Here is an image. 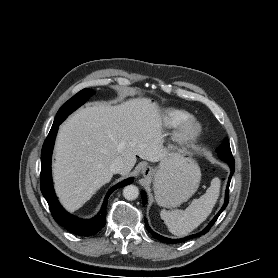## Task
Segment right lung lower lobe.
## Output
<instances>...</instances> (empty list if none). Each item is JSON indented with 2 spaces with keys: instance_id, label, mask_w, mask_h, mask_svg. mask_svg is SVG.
<instances>
[{
  "instance_id": "obj_1",
  "label": "right lung lower lobe",
  "mask_w": 278,
  "mask_h": 278,
  "mask_svg": "<svg viewBox=\"0 0 278 278\" xmlns=\"http://www.w3.org/2000/svg\"><path fill=\"white\" fill-rule=\"evenodd\" d=\"M61 122L62 121L53 123L52 128L43 144L41 153V192L47 200L50 211L56 222L74 234L81 236H91L105 226L106 206L111 193L119 187H124L128 184H131L133 179H126L112 187L105 197L101 211L92 219H81L66 212L57 200L53 189L51 176L52 150L58 127Z\"/></svg>"
}]
</instances>
